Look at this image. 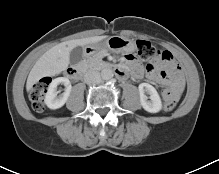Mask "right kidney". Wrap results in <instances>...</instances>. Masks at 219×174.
<instances>
[{"label": "right kidney", "instance_id": "ca27d5eb", "mask_svg": "<svg viewBox=\"0 0 219 174\" xmlns=\"http://www.w3.org/2000/svg\"><path fill=\"white\" fill-rule=\"evenodd\" d=\"M59 84H63L65 86L64 92L58 95L57 86ZM72 86L68 78L65 77H58L52 80L51 84L48 87L47 93L45 95L44 102L50 109H58L61 108L67 101Z\"/></svg>", "mask_w": 219, "mask_h": 174}]
</instances>
